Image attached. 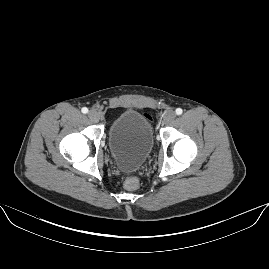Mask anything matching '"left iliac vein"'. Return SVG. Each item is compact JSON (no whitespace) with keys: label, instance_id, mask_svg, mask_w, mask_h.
<instances>
[{"label":"left iliac vein","instance_id":"4c4485c4","mask_svg":"<svg viewBox=\"0 0 269 269\" xmlns=\"http://www.w3.org/2000/svg\"><path fill=\"white\" fill-rule=\"evenodd\" d=\"M175 119V112L174 111H167L165 114H164V123L165 124H171Z\"/></svg>","mask_w":269,"mask_h":269}]
</instances>
